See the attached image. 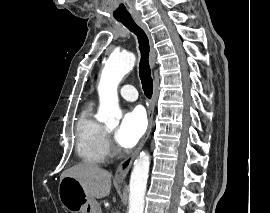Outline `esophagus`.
I'll list each match as a JSON object with an SVG mask.
<instances>
[{"mask_svg":"<svg viewBox=\"0 0 270 213\" xmlns=\"http://www.w3.org/2000/svg\"><path fill=\"white\" fill-rule=\"evenodd\" d=\"M134 20L145 31V33L147 34V36L149 38V42H150L149 61H150L151 68H154L155 63H156V51L153 47V41H152V38H151L150 33L148 31V28H147L146 24L142 21L141 17H135ZM156 99H157V83H156V80H154L152 101H151V104H150L149 109H148V128H147V131H146L145 135L143 136L141 142L139 143L138 147L136 148V150L133 153H131L128 157H126L119 164V166L116 170L115 176H114V180L116 182H123L125 180L128 172L132 166L134 159L136 158V156L138 155L140 150L143 148L145 142L147 141V139L151 133Z\"/></svg>","mask_w":270,"mask_h":213,"instance_id":"1","label":"esophagus"}]
</instances>
